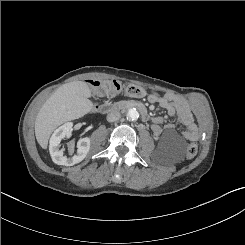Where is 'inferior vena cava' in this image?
I'll use <instances>...</instances> for the list:
<instances>
[{"label": "inferior vena cava", "mask_w": 245, "mask_h": 245, "mask_svg": "<svg viewBox=\"0 0 245 245\" xmlns=\"http://www.w3.org/2000/svg\"><path fill=\"white\" fill-rule=\"evenodd\" d=\"M121 118V114L117 110H113L107 114V121L108 122H115Z\"/></svg>", "instance_id": "1"}]
</instances>
